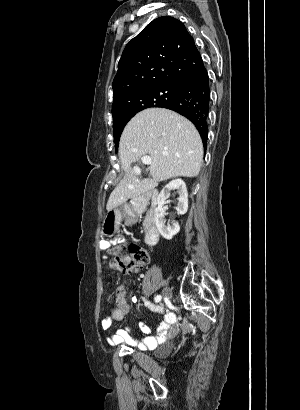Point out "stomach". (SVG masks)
Returning a JSON list of instances; mask_svg holds the SVG:
<instances>
[{
    "label": "stomach",
    "instance_id": "stomach-1",
    "mask_svg": "<svg viewBox=\"0 0 300 410\" xmlns=\"http://www.w3.org/2000/svg\"><path fill=\"white\" fill-rule=\"evenodd\" d=\"M127 218H135L133 211L127 204L107 211L102 224L103 234L108 237L114 235L118 232L121 221Z\"/></svg>",
    "mask_w": 300,
    "mask_h": 410
}]
</instances>
